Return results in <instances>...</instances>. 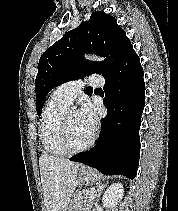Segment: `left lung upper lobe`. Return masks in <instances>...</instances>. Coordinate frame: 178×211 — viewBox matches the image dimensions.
Returning a JSON list of instances; mask_svg holds the SVG:
<instances>
[{"label":"left lung upper lobe","mask_w":178,"mask_h":211,"mask_svg":"<svg viewBox=\"0 0 178 211\" xmlns=\"http://www.w3.org/2000/svg\"><path fill=\"white\" fill-rule=\"evenodd\" d=\"M133 48L114 17L102 11L49 47L41 56L36 76V110L40 115L47 94L56 86L92 73L109 74ZM84 53L105 57V62H88ZM88 92L91 90L88 88Z\"/></svg>","instance_id":"1"}]
</instances>
